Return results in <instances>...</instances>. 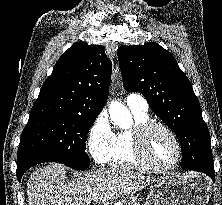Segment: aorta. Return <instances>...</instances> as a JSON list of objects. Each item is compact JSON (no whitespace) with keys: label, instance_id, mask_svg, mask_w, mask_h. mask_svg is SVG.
Segmentation results:
<instances>
[{"label":"aorta","instance_id":"obj_1","mask_svg":"<svg viewBox=\"0 0 222 205\" xmlns=\"http://www.w3.org/2000/svg\"><path fill=\"white\" fill-rule=\"evenodd\" d=\"M109 114L111 121L122 128H128L132 125V116L129 110L120 102L112 101L109 105Z\"/></svg>","mask_w":222,"mask_h":205}]
</instances>
